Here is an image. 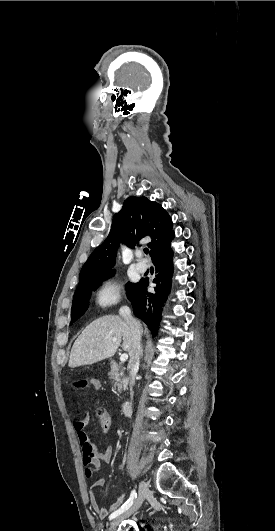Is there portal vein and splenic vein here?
<instances>
[{
  "instance_id": "1",
  "label": "portal vein and splenic vein",
  "mask_w": 275,
  "mask_h": 531,
  "mask_svg": "<svg viewBox=\"0 0 275 531\" xmlns=\"http://www.w3.org/2000/svg\"><path fill=\"white\" fill-rule=\"evenodd\" d=\"M113 341H117V339H113ZM127 359H128V355H126V353H123V355H121L120 357V361H122V363H125Z\"/></svg>"
}]
</instances>
